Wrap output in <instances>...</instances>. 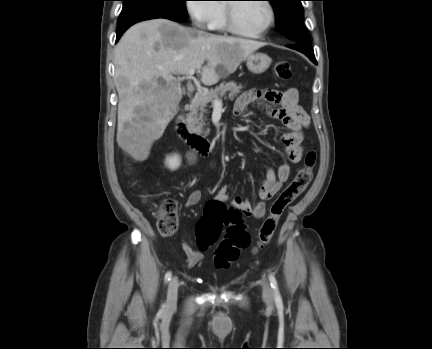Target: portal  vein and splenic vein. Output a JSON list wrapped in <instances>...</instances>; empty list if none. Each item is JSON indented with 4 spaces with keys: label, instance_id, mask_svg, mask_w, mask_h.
<instances>
[{
    "label": "portal vein and splenic vein",
    "instance_id": "portal-vein-and-splenic-vein-1",
    "mask_svg": "<svg viewBox=\"0 0 432 349\" xmlns=\"http://www.w3.org/2000/svg\"><path fill=\"white\" fill-rule=\"evenodd\" d=\"M186 74H187V76H188L190 79H192V78H193V75L195 74V70H190V71H188ZM188 88H189L190 90H193V86H192V84H191L190 82L188 83ZM214 104L220 106V105L222 104V102H221L220 99L216 98L215 101H214Z\"/></svg>",
    "mask_w": 432,
    "mask_h": 349
}]
</instances>
